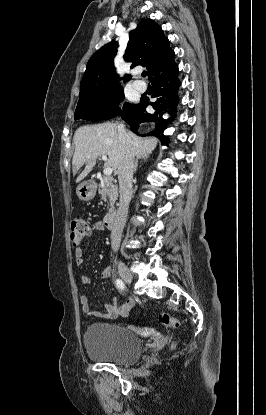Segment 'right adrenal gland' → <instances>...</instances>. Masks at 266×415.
Returning a JSON list of instances; mask_svg holds the SVG:
<instances>
[{
	"label": "right adrenal gland",
	"mask_w": 266,
	"mask_h": 415,
	"mask_svg": "<svg viewBox=\"0 0 266 415\" xmlns=\"http://www.w3.org/2000/svg\"><path fill=\"white\" fill-rule=\"evenodd\" d=\"M149 156H150V154H146V155L136 157L135 165H134V172H136V170H137L139 160L143 159L144 161H146L149 158Z\"/></svg>",
	"instance_id": "2a0ac1e0"
}]
</instances>
